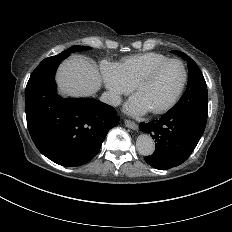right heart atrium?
Listing matches in <instances>:
<instances>
[{
	"label": "right heart atrium",
	"instance_id": "1",
	"mask_svg": "<svg viewBox=\"0 0 232 232\" xmlns=\"http://www.w3.org/2000/svg\"><path fill=\"white\" fill-rule=\"evenodd\" d=\"M102 76V83L106 90L115 92L118 96L127 93L130 87L122 80L119 75L117 63L103 59L98 66Z\"/></svg>",
	"mask_w": 232,
	"mask_h": 232
}]
</instances>
